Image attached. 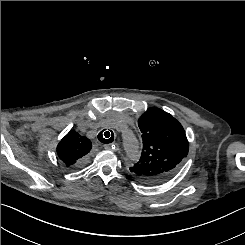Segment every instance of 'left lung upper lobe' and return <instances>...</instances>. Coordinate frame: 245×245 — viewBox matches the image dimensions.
I'll list each match as a JSON object with an SVG mask.
<instances>
[{
    "label": "left lung upper lobe",
    "mask_w": 245,
    "mask_h": 245,
    "mask_svg": "<svg viewBox=\"0 0 245 245\" xmlns=\"http://www.w3.org/2000/svg\"><path fill=\"white\" fill-rule=\"evenodd\" d=\"M143 149L131 175L146 185L170 179L188 154L189 144L182 125L171 114L149 108L138 120Z\"/></svg>",
    "instance_id": "5c2ea615"
}]
</instances>
